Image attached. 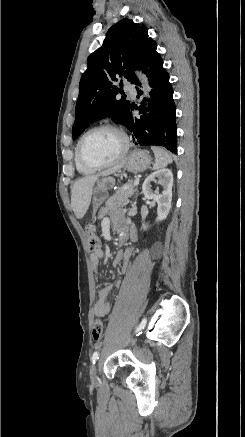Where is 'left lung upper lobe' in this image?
<instances>
[{"mask_svg":"<svg viewBox=\"0 0 245 437\" xmlns=\"http://www.w3.org/2000/svg\"><path fill=\"white\" fill-rule=\"evenodd\" d=\"M157 46L148 37L147 28L127 18L114 24L107 32L103 45L90 54L83 73L76 104L72 136L75 140L90 123L110 117L126 126L130 102L116 99L120 88L113 84L124 77L131 84L149 51Z\"/></svg>","mask_w":245,"mask_h":437,"instance_id":"left-lung-upper-lobe-1","label":"left lung upper lobe"}]
</instances>
